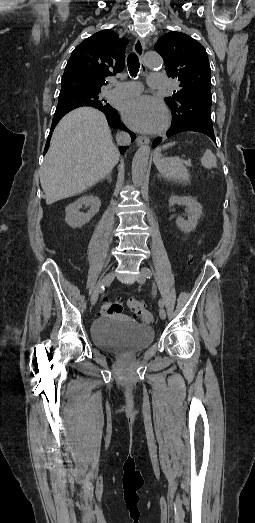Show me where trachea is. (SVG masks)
I'll use <instances>...</instances> for the list:
<instances>
[{
    "label": "trachea",
    "mask_w": 255,
    "mask_h": 523,
    "mask_svg": "<svg viewBox=\"0 0 255 523\" xmlns=\"http://www.w3.org/2000/svg\"><path fill=\"white\" fill-rule=\"evenodd\" d=\"M127 66H128L130 75L132 77L136 76V74L138 73L139 67H140V63H139L137 55L134 54L133 52L131 54H129V56L127 58Z\"/></svg>",
    "instance_id": "trachea-1"
}]
</instances>
